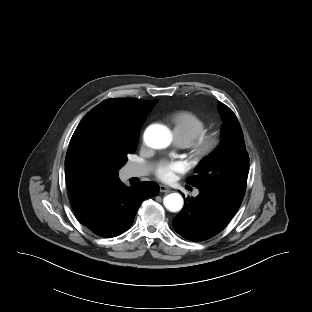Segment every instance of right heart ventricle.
Segmentation results:
<instances>
[{
  "mask_svg": "<svg viewBox=\"0 0 312 312\" xmlns=\"http://www.w3.org/2000/svg\"><path fill=\"white\" fill-rule=\"evenodd\" d=\"M174 134L177 140L191 144L195 139L207 131V122L199 115L182 111L172 117Z\"/></svg>",
  "mask_w": 312,
  "mask_h": 312,
  "instance_id": "e07e8e85",
  "label": "right heart ventricle"
}]
</instances>
